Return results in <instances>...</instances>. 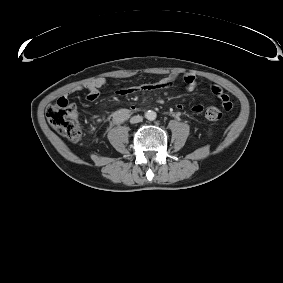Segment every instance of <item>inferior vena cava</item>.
<instances>
[{"label": "inferior vena cava", "mask_w": 283, "mask_h": 283, "mask_svg": "<svg viewBox=\"0 0 283 283\" xmlns=\"http://www.w3.org/2000/svg\"><path fill=\"white\" fill-rule=\"evenodd\" d=\"M142 120H143V117L140 116V115H137V116H133V117L130 119V122H131L132 124H134V123L142 122Z\"/></svg>", "instance_id": "obj_1"}]
</instances>
